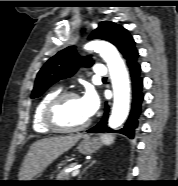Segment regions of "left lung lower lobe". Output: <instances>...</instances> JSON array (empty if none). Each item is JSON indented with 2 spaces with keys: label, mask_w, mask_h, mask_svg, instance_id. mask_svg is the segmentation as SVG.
<instances>
[{
  "label": "left lung lower lobe",
  "mask_w": 178,
  "mask_h": 186,
  "mask_svg": "<svg viewBox=\"0 0 178 186\" xmlns=\"http://www.w3.org/2000/svg\"><path fill=\"white\" fill-rule=\"evenodd\" d=\"M139 54L134 55L127 60V65L130 71L132 81L133 100L129 117L125 123V126L118 132L126 135L130 139H133L138 128V119L142 113L141 104L144 100V94L142 93L143 79L140 76L141 66L137 62ZM108 105L105 106V113L101 121L89 129L90 133H102V132H114V130L107 127L108 120Z\"/></svg>",
  "instance_id": "left-lung-lower-lobe-1"
}]
</instances>
